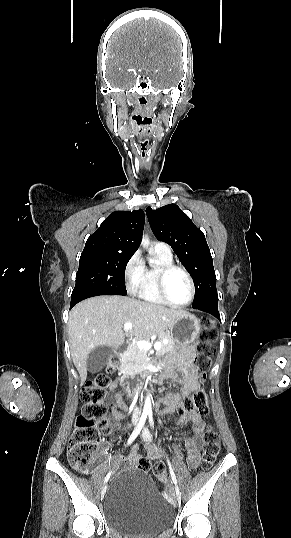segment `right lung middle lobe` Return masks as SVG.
Segmentation results:
<instances>
[{
	"label": "right lung middle lobe",
	"instance_id": "dd1d6c3e",
	"mask_svg": "<svg viewBox=\"0 0 291 538\" xmlns=\"http://www.w3.org/2000/svg\"><path fill=\"white\" fill-rule=\"evenodd\" d=\"M133 254L82 252L71 301L100 295H126L125 268Z\"/></svg>",
	"mask_w": 291,
	"mask_h": 538
}]
</instances>
